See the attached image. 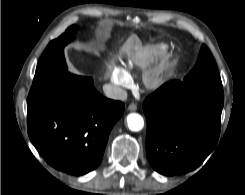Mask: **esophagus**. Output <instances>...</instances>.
<instances>
[{"mask_svg":"<svg viewBox=\"0 0 245 195\" xmlns=\"http://www.w3.org/2000/svg\"><path fill=\"white\" fill-rule=\"evenodd\" d=\"M129 111H136L137 110V105L134 103L129 104L128 108Z\"/></svg>","mask_w":245,"mask_h":195,"instance_id":"obj_1","label":"esophagus"}]
</instances>
